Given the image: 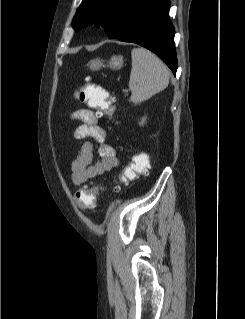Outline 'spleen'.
Returning a JSON list of instances; mask_svg holds the SVG:
<instances>
[{
	"label": "spleen",
	"instance_id": "3e777b00",
	"mask_svg": "<svg viewBox=\"0 0 245 319\" xmlns=\"http://www.w3.org/2000/svg\"><path fill=\"white\" fill-rule=\"evenodd\" d=\"M131 58V102L137 104L146 101L168 86L169 69L154 53L145 48H134Z\"/></svg>",
	"mask_w": 245,
	"mask_h": 319
}]
</instances>
